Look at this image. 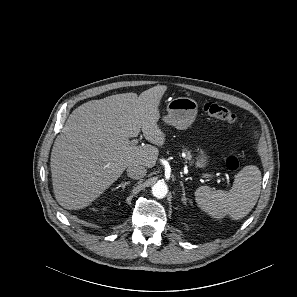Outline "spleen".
<instances>
[{
	"mask_svg": "<svg viewBox=\"0 0 297 297\" xmlns=\"http://www.w3.org/2000/svg\"><path fill=\"white\" fill-rule=\"evenodd\" d=\"M261 182L259 168L248 165L237 173L230 191L201 186L195 191V200L198 207L213 218L221 219L229 215L233 220H240L247 216L257 203Z\"/></svg>",
	"mask_w": 297,
	"mask_h": 297,
	"instance_id": "obj_1",
	"label": "spleen"
}]
</instances>
